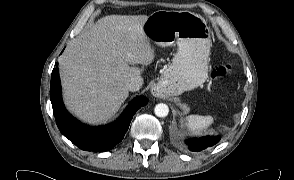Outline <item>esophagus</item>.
I'll return each mask as SVG.
<instances>
[{
    "mask_svg": "<svg viewBox=\"0 0 294 180\" xmlns=\"http://www.w3.org/2000/svg\"><path fill=\"white\" fill-rule=\"evenodd\" d=\"M159 90H160V87L158 85H154L152 88H151V94L155 97H160L159 96Z\"/></svg>",
    "mask_w": 294,
    "mask_h": 180,
    "instance_id": "esophagus-1",
    "label": "esophagus"
}]
</instances>
